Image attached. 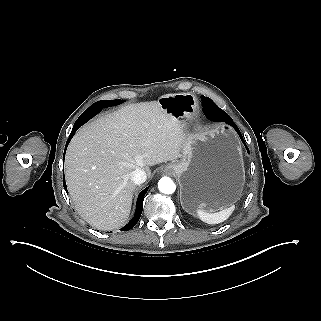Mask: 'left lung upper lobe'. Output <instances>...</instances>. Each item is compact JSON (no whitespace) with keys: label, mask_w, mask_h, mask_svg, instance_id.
Instances as JSON below:
<instances>
[{"label":"left lung upper lobe","mask_w":321,"mask_h":321,"mask_svg":"<svg viewBox=\"0 0 321 321\" xmlns=\"http://www.w3.org/2000/svg\"><path fill=\"white\" fill-rule=\"evenodd\" d=\"M203 105H214L215 103L208 97L201 96Z\"/></svg>","instance_id":"1"}]
</instances>
